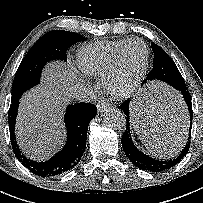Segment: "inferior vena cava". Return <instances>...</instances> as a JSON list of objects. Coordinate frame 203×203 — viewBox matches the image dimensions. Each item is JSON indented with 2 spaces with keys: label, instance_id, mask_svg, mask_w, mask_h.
I'll return each mask as SVG.
<instances>
[{
  "label": "inferior vena cava",
  "instance_id": "602c4592",
  "mask_svg": "<svg viewBox=\"0 0 203 203\" xmlns=\"http://www.w3.org/2000/svg\"><path fill=\"white\" fill-rule=\"evenodd\" d=\"M72 96L81 102H90L93 99L92 91L88 87L80 84L75 85Z\"/></svg>",
  "mask_w": 203,
  "mask_h": 203
}]
</instances>
